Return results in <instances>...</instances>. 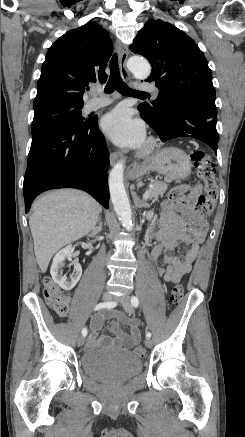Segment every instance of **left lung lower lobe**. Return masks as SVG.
<instances>
[{"label": "left lung lower lobe", "instance_id": "obj_1", "mask_svg": "<svg viewBox=\"0 0 245 437\" xmlns=\"http://www.w3.org/2000/svg\"><path fill=\"white\" fill-rule=\"evenodd\" d=\"M141 117L157 132L162 142L180 137L195 138L217 153V111L199 101L186 98L167 100L159 113L141 111Z\"/></svg>", "mask_w": 245, "mask_h": 437}]
</instances>
